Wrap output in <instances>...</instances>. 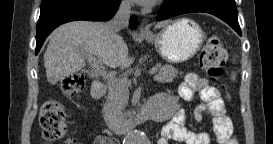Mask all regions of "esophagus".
<instances>
[{"label": "esophagus", "instance_id": "1", "mask_svg": "<svg viewBox=\"0 0 273 144\" xmlns=\"http://www.w3.org/2000/svg\"><path fill=\"white\" fill-rule=\"evenodd\" d=\"M140 32H141V34H148V28L147 27H144L143 25L141 26V28H140Z\"/></svg>", "mask_w": 273, "mask_h": 144}]
</instances>
